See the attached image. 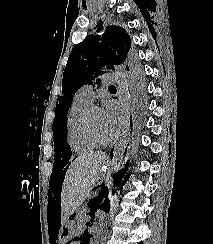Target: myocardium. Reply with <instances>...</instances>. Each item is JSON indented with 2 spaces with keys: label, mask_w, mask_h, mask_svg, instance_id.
Returning <instances> with one entry per match:
<instances>
[{
  "label": "myocardium",
  "mask_w": 213,
  "mask_h": 244,
  "mask_svg": "<svg viewBox=\"0 0 213 244\" xmlns=\"http://www.w3.org/2000/svg\"><path fill=\"white\" fill-rule=\"evenodd\" d=\"M96 107L95 105H90L89 108L86 110L85 112V115H84V129H85V132L88 136V138L94 142L95 144L97 145H107V144H110L114 138H115V132L113 131L112 134L108 137V138H105V139H102V138H99L92 126H91V122H90V111L92 108Z\"/></svg>",
  "instance_id": "myocardium-1"
}]
</instances>
